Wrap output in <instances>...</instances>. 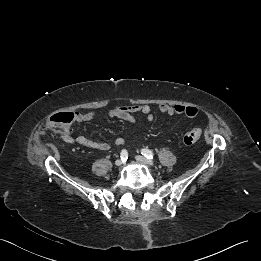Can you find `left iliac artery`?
<instances>
[{"mask_svg":"<svg viewBox=\"0 0 261 261\" xmlns=\"http://www.w3.org/2000/svg\"><path fill=\"white\" fill-rule=\"evenodd\" d=\"M141 154L144 155L148 159H153V157H154L153 152L146 148L141 150Z\"/></svg>","mask_w":261,"mask_h":261,"instance_id":"1","label":"left iliac artery"}]
</instances>
